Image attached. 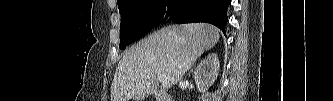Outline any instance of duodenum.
Returning <instances> with one entry per match:
<instances>
[{
	"instance_id": "duodenum-1",
	"label": "duodenum",
	"mask_w": 333,
	"mask_h": 101,
	"mask_svg": "<svg viewBox=\"0 0 333 101\" xmlns=\"http://www.w3.org/2000/svg\"><path fill=\"white\" fill-rule=\"evenodd\" d=\"M157 101H172L170 95L164 90H158L154 94Z\"/></svg>"
}]
</instances>
